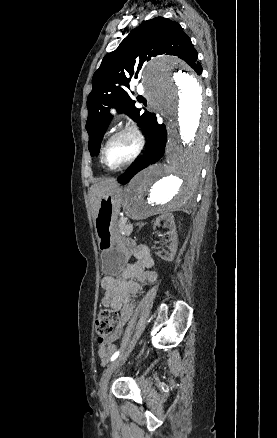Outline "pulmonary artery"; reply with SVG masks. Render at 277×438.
<instances>
[{
    "mask_svg": "<svg viewBox=\"0 0 277 438\" xmlns=\"http://www.w3.org/2000/svg\"><path fill=\"white\" fill-rule=\"evenodd\" d=\"M140 84V80H131V83H130V85L131 86H138ZM116 109L115 108H112L111 110H110V113L112 114V115H115L116 114Z\"/></svg>",
    "mask_w": 277,
    "mask_h": 438,
    "instance_id": "pulmonary-artery-1",
    "label": "pulmonary artery"
}]
</instances>
